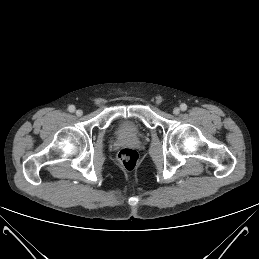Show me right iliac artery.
<instances>
[{
  "mask_svg": "<svg viewBox=\"0 0 259 259\" xmlns=\"http://www.w3.org/2000/svg\"><path fill=\"white\" fill-rule=\"evenodd\" d=\"M68 110H69V112L73 113L75 111V106L74 105H70L68 107Z\"/></svg>",
  "mask_w": 259,
  "mask_h": 259,
  "instance_id": "1",
  "label": "right iliac artery"
}]
</instances>
